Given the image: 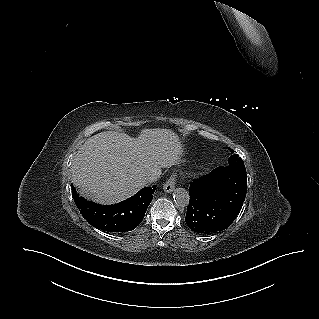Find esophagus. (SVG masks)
Segmentation results:
<instances>
[{
    "label": "esophagus",
    "mask_w": 319,
    "mask_h": 319,
    "mask_svg": "<svg viewBox=\"0 0 319 319\" xmlns=\"http://www.w3.org/2000/svg\"><path fill=\"white\" fill-rule=\"evenodd\" d=\"M175 184H176V174H172L164 184V187H163L164 191L167 193H171L175 188Z\"/></svg>",
    "instance_id": "1"
}]
</instances>
